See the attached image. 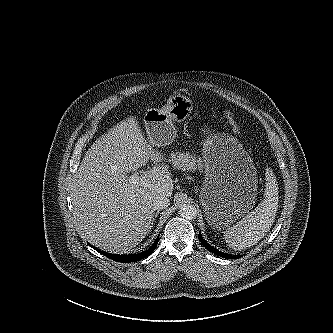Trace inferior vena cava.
<instances>
[{
	"label": "inferior vena cava",
	"mask_w": 333,
	"mask_h": 333,
	"mask_svg": "<svg viewBox=\"0 0 333 333\" xmlns=\"http://www.w3.org/2000/svg\"><path fill=\"white\" fill-rule=\"evenodd\" d=\"M152 203L155 210H160L168 207L170 205V200L166 194L159 193L154 196Z\"/></svg>",
	"instance_id": "1"
}]
</instances>
